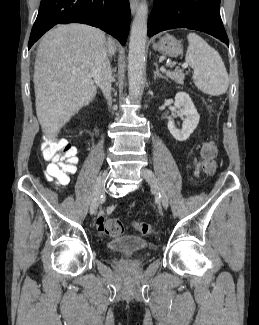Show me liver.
<instances>
[{
  "label": "liver",
  "instance_id": "obj_1",
  "mask_svg": "<svg viewBox=\"0 0 259 325\" xmlns=\"http://www.w3.org/2000/svg\"><path fill=\"white\" fill-rule=\"evenodd\" d=\"M105 43L101 30L78 23L58 25L41 39L33 82L37 118L49 140L95 97L91 71L95 55ZM107 46L113 55L116 46L112 38Z\"/></svg>",
  "mask_w": 259,
  "mask_h": 325
}]
</instances>
